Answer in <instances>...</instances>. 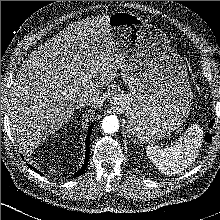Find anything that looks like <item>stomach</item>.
I'll list each match as a JSON object with an SVG mask.
<instances>
[{
    "label": "stomach",
    "instance_id": "obj_1",
    "mask_svg": "<svg viewBox=\"0 0 220 220\" xmlns=\"http://www.w3.org/2000/svg\"><path fill=\"white\" fill-rule=\"evenodd\" d=\"M129 93L112 103L127 117V131L138 143H153L183 125L192 105L191 85L182 58L160 29L131 12L109 16Z\"/></svg>",
    "mask_w": 220,
    "mask_h": 220
}]
</instances>
